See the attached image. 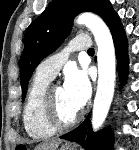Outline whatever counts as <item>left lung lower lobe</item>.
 <instances>
[{"label": "left lung lower lobe", "mask_w": 139, "mask_h": 150, "mask_svg": "<svg viewBox=\"0 0 139 150\" xmlns=\"http://www.w3.org/2000/svg\"><path fill=\"white\" fill-rule=\"evenodd\" d=\"M105 23L109 26L115 44L118 70L121 83H124L127 76L128 56L127 40L120 18L111 9L105 18ZM60 138L81 144L87 150H113V133L106 128L96 134L92 133L89 116L74 130L62 135Z\"/></svg>", "instance_id": "left-lung-lower-lobe-1"}]
</instances>
